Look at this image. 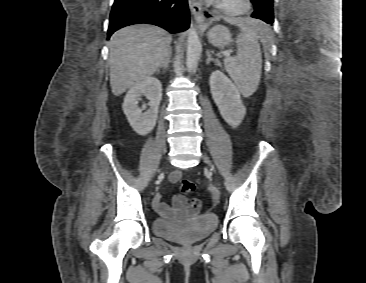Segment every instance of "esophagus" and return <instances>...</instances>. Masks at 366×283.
<instances>
[{
	"label": "esophagus",
	"mask_w": 366,
	"mask_h": 283,
	"mask_svg": "<svg viewBox=\"0 0 366 283\" xmlns=\"http://www.w3.org/2000/svg\"><path fill=\"white\" fill-rule=\"evenodd\" d=\"M188 2H189L190 10H191L196 22L198 23L199 27L201 29H205L207 25L204 20V15L202 12L201 4L197 0H189Z\"/></svg>",
	"instance_id": "34e87169"
}]
</instances>
